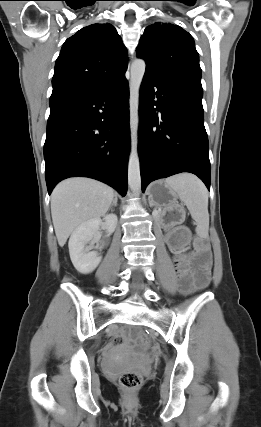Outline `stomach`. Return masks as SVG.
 I'll use <instances>...</instances> for the list:
<instances>
[{"mask_svg": "<svg viewBox=\"0 0 261 427\" xmlns=\"http://www.w3.org/2000/svg\"><path fill=\"white\" fill-rule=\"evenodd\" d=\"M177 193L165 181H156L151 184L148 190L149 202L152 205L177 208Z\"/></svg>", "mask_w": 261, "mask_h": 427, "instance_id": "1", "label": "stomach"}]
</instances>
